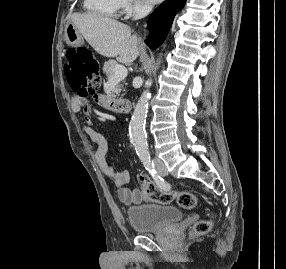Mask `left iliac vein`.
I'll use <instances>...</instances> for the list:
<instances>
[{"instance_id":"left-iliac-vein-1","label":"left iliac vein","mask_w":286,"mask_h":269,"mask_svg":"<svg viewBox=\"0 0 286 269\" xmlns=\"http://www.w3.org/2000/svg\"><path fill=\"white\" fill-rule=\"evenodd\" d=\"M155 164H156L157 171L159 172L160 175L166 176L168 174L166 167L164 166V164L161 162L160 159L156 158Z\"/></svg>"}]
</instances>
